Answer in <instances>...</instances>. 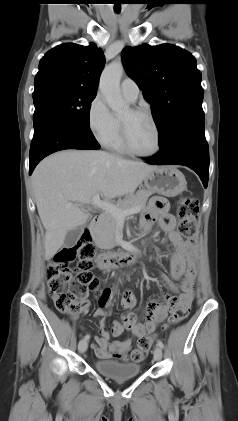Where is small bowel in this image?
Here are the masks:
<instances>
[{
    "label": "small bowel",
    "mask_w": 238,
    "mask_h": 421,
    "mask_svg": "<svg viewBox=\"0 0 238 421\" xmlns=\"http://www.w3.org/2000/svg\"><path fill=\"white\" fill-rule=\"evenodd\" d=\"M157 220L174 248L170 258V270L172 278L179 282L177 284L172 282L164 274H161L160 278L169 290L178 295L174 297L163 293L159 299L150 300L146 305L143 320L139 321L137 316L131 312L136 306V299L130 290H125L122 294L121 305L126 310V313L120 321L113 322L111 334L114 337L120 336L125 330H129L135 337L151 335L157 325L166 319L168 313L174 307L190 308L192 304L196 276L195 249L175 230V218L169 213L168 203L162 197H154L149 202L140 219L142 229L149 231ZM113 289V287L103 289L99 299V306L94 313V317L98 322L99 334L95 336V343L92 347L96 355L102 359H109L112 356L126 352L132 345L131 339L123 342H111V334L106 330L105 317L108 314ZM87 307L88 303L85 302V309Z\"/></svg>",
    "instance_id": "c3829d8e"
}]
</instances>
